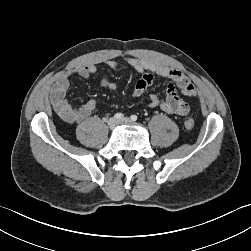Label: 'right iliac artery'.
Instances as JSON below:
<instances>
[{"label":"right iliac artery","instance_id":"obj_1","mask_svg":"<svg viewBox=\"0 0 251 251\" xmlns=\"http://www.w3.org/2000/svg\"><path fill=\"white\" fill-rule=\"evenodd\" d=\"M114 117H115L116 119H122V118L124 117V115H123L122 113H116V114L114 115Z\"/></svg>","mask_w":251,"mask_h":251}]
</instances>
